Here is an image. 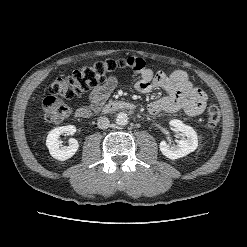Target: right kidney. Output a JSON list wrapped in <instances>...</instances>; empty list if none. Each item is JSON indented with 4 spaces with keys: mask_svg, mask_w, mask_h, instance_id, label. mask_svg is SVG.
I'll return each mask as SVG.
<instances>
[{
    "mask_svg": "<svg viewBox=\"0 0 247 247\" xmlns=\"http://www.w3.org/2000/svg\"><path fill=\"white\" fill-rule=\"evenodd\" d=\"M76 132V127L73 125L62 126L51 130L46 139V146L49 149L50 155L58 160L65 161L71 158L78 150L79 144L76 139L71 138L69 145L60 147L59 136L61 134L73 135Z\"/></svg>",
    "mask_w": 247,
    "mask_h": 247,
    "instance_id": "right-kidney-1",
    "label": "right kidney"
}]
</instances>
